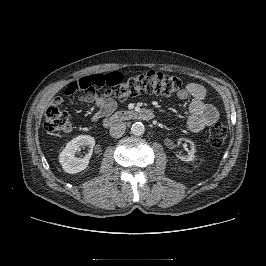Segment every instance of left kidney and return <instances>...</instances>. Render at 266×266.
<instances>
[{"instance_id":"5707ae66","label":"left kidney","mask_w":266,"mask_h":266,"mask_svg":"<svg viewBox=\"0 0 266 266\" xmlns=\"http://www.w3.org/2000/svg\"><path fill=\"white\" fill-rule=\"evenodd\" d=\"M194 158H195V148H194V144L191 142V149L189 150L188 155L182 156L180 157V159L182 161L189 162V161H193Z\"/></svg>"}]
</instances>
